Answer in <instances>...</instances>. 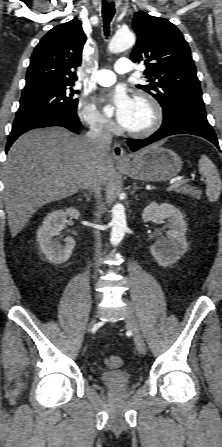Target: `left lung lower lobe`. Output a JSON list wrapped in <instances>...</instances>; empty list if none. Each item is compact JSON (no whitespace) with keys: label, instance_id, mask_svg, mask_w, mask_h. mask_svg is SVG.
Listing matches in <instances>:
<instances>
[{"label":"left lung lower lobe","instance_id":"0a47b994","mask_svg":"<svg viewBox=\"0 0 222 447\" xmlns=\"http://www.w3.org/2000/svg\"><path fill=\"white\" fill-rule=\"evenodd\" d=\"M175 134H192L206 138L219 148L217 137L206 119V115L176 109L164 117L162 126L150 137L137 140L128 139L127 143L132 151L143 148L157 140Z\"/></svg>","mask_w":222,"mask_h":447}]
</instances>
